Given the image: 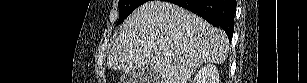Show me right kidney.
Returning a JSON list of instances; mask_svg holds the SVG:
<instances>
[{
	"mask_svg": "<svg viewBox=\"0 0 307 83\" xmlns=\"http://www.w3.org/2000/svg\"><path fill=\"white\" fill-rule=\"evenodd\" d=\"M193 83H219V75L216 66L205 64L195 75Z\"/></svg>",
	"mask_w": 307,
	"mask_h": 83,
	"instance_id": "obj_1",
	"label": "right kidney"
}]
</instances>
